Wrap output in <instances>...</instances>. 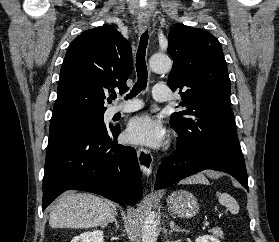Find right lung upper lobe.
I'll return each mask as SVG.
<instances>
[{"instance_id": "1", "label": "right lung upper lobe", "mask_w": 279, "mask_h": 242, "mask_svg": "<svg viewBox=\"0 0 279 242\" xmlns=\"http://www.w3.org/2000/svg\"><path fill=\"white\" fill-rule=\"evenodd\" d=\"M131 71V46L114 27L83 32L66 52L52 116L75 111L105 112L107 93L115 87L127 91Z\"/></svg>"}]
</instances>
